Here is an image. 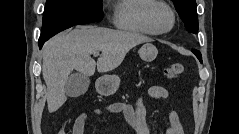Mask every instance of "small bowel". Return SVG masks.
Segmentation results:
<instances>
[{
    "instance_id": "small-bowel-1",
    "label": "small bowel",
    "mask_w": 239,
    "mask_h": 134,
    "mask_svg": "<svg viewBox=\"0 0 239 134\" xmlns=\"http://www.w3.org/2000/svg\"><path fill=\"white\" fill-rule=\"evenodd\" d=\"M147 93L154 100L166 99L169 96L168 90L159 85L150 86ZM95 113L99 116H112L121 113L129 127L137 134H150L141 98H138L132 105L121 102L110 103L96 109ZM87 118L86 112L78 114L73 123L72 134H84ZM161 134H183L182 122L175 110L169 112L168 125L161 131Z\"/></svg>"
}]
</instances>
